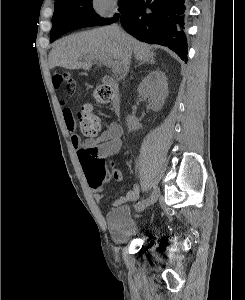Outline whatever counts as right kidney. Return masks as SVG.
Listing matches in <instances>:
<instances>
[{
    "instance_id": "obj_1",
    "label": "right kidney",
    "mask_w": 245,
    "mask_h": 300,
    "mask_svg": "<svg viewBox=\"0 0 245 300\" xmlns=\"http://www.w3.org/2000/svg\"><path fill=\"white\" fill-rule=\"evenodd\" d=\"M138 93L145 99H148L149 106L154 111H159L164 105L168 94V83L165 73L155 70L149 73L140 83ZM127 126L129 131L139 130L141 125L133 117H127Z\"/></svg>"
}]
</instances>
